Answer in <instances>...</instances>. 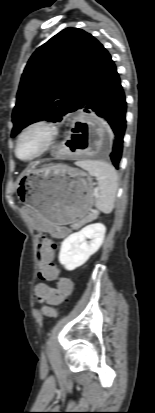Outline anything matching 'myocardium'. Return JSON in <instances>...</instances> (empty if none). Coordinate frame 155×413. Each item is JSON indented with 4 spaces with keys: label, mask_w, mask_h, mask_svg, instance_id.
I'll list each match as a JSON object with an SVG mask.
<instances>
[{
    "label": "myocardium",
    "mask_w": 155,
    "mask_h": 413,
    "mask_svg": "<svg viewBox=\"0 0 155 413\" xmlns=\"http://www.w3.org/2000/svg\"><path fill=\"white\" fill-rule=\"evenodd\" d=\"M38 127L45 129L47 131V134H48L47 140H46L43 148L38 153H36L34 156H32L30 158L25 159V158L20 157V155L18 153V147H19V143H20L22 137L28 131H30L31 129L38 128ZM56 136H57V129L54 126V124H52L49 121L43 120V119L34 120V121L26 124L21 129V131L19 132V134L17 136V139L15 141V147H14L15 156L19 160L24 161V162H29V161L35 160V159L39 158L40 156H42L43 154H45L50 149V147L52 146L54 140L56 139Z\"/></svg>",
    "instance_id": "obj_1"
}]
</instances>
